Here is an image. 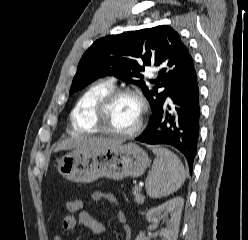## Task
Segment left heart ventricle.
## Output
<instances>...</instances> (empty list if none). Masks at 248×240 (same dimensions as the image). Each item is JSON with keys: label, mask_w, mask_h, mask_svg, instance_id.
Masks as SVG:
<instances>
[{"label": "left heart ventricle", "mask_w": 248, "mask_h": 240, "mask_svg": "<svg viewBox=\"0 0 248 240\" xmlns=\"http://www.w3.org/2000/svg\"><path fill=\"white\" fill-rule=\"evenodd\" d=\"M141 108L136 98L128 95L115 99L110 107L105 125L118 132L131 131L138 123Z\"/></svg>", "instance_id": "left-heart-ventricle-1"}]
</instances>
